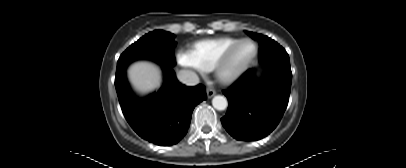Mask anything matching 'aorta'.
<instances>
[{"label":"aorta","instance_id":"1","mask_svg":"<svg viewBox=\"0 0 406 168\" xmlns=\"http://www.w3.org/2000/svg\"><path fill=\"white\" fill-rule=\"evenodd\" d=\"M212 105L216 110H225L228 106V101L224 96L217 95L212 99Z\"/></svg>","mask_w":406,"mask_h":168}]
</instances>
